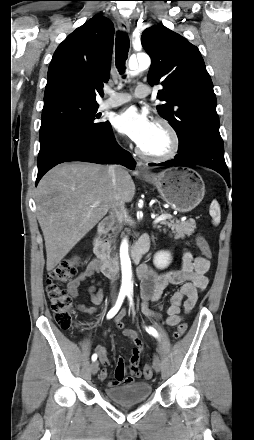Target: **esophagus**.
Returning a JSON list of instances; mask_svg holds the SVG:
<instances>
[{
	"label": "esophagus",
	"instance_id": "esophagus-1",
	"mask_svg": "<svg viewBox=\"0 0 254 440\" xmlns=\"http://www.w3.org/2000/svg\"><path fill=\"white\" fill-rule=\"evenodd\" d=\"M117 24H118V27L121 31H123V32L130 31V23L127 19L119 18L117 20ZM136 170H137V172L142 173V174L148 173L147 170L144 168L142 162H140V161L137 162Z\"/></svg>",
	"mask_w": 254,
	"mask_h": 440
}]
</instances>
